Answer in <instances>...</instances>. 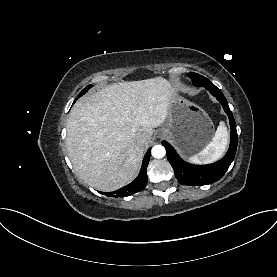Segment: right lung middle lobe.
<instances>
[{"mask_svg":"<svg viewBox=\"0 0 277 277\" xmlns=\"http://www.w3.org/2000/svg\"><path fill=\"white\" fill-rule=\"evenodd\" d=\"M91 87V85H89V86H87L85 89H83L81 92H80V94L78 95V97L76 98V100L79 98V97H81L83 94H85L86 93V91L89 89ZM75 100V101H76ZM74 101V102H75Z\"/></svg>","mask_w":277,"mask_h":277,"instance_id":"right-lung-middle-lobe-1","label":"right lung middle lobe"}]
</instances>
